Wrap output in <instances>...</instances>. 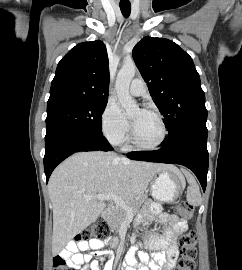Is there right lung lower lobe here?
Returning <instances> with one entry per match:
<instances>
[{
    "label": "right lung lower lobe",
    "instance_id": "98d812e1",
    "mask_svg": "<svg viewBox=\"0 0 242 270\" xmlns=\"http://www.w3.org/2000/svg\"><path fill=\"white\" fill-rule=\"evenodd\" d=\"M111 151L113 148L107 139L80 131H60L45 138L44 170L46 180L68 156L80 151Z\"/></svg>",
    "mask_w": 242,
    "mask_h": 270
}]
</instances>
